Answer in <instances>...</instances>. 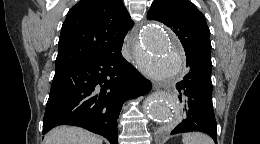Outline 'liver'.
Listing matches in <instances>:
<instances>
[{"label": "liver", "mask_w": 260, "mask_h": 144, "mask_svg": "<svg viewBox=\"0 0 260 144\" xmlns=\"http://www.w3.org/2000/svg\"><path fill=\"white\" fill-rule=\"evenodd\" d=\"M102 138L82 128L59 126L49 131L44 144H102Z\"/></svg>", "instance_id": "1"}]
</instances>
